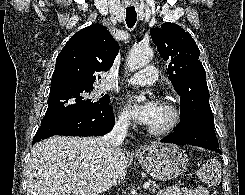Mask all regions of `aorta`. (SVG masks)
I'll return each instance as SVG.
<instances>
[{
  "label": "aorta",
  "mask_w": 245,
  "mask_h": 195,
  "mask_svg": "<svg viewBox=\"0 0 245 195\" xmlns=\"http://www.w3.org/2000/svg\"><path fill=\"white\" fill-rule=\"evenodd\" d=\"M153 57V51L148 46L137 45L133 47L127 57V65L130 71H135L146 66ZM140 100H144V96H140Z\"/></svg>",
  "instance_id": "1"
}]
</instances>
